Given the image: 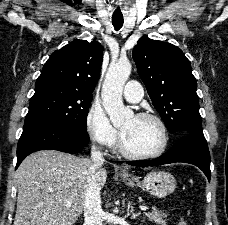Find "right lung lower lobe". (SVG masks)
Returning a JSON list of instances; mask_svg holds the SVG:
<instances>
[{
	"label": "right lung lower lobe",
	"mask_w": 228,
	"mask_h": 225,
	"mask_svg": "<svg viewBox=\"0 0 228 225\" xmlns=\"http://www.w3.org/2000/svg\"><path fill=\"white\" fill-rule=\"evenodd\" d=\"M88 142L87 131L63 122L41 120L25 123L17 146L16 169L32 152L51 149L73 153L81 151Z\"/></svg>",
	"instance_id": "right-lung-lower-lobe-1"
}]
</instances>
